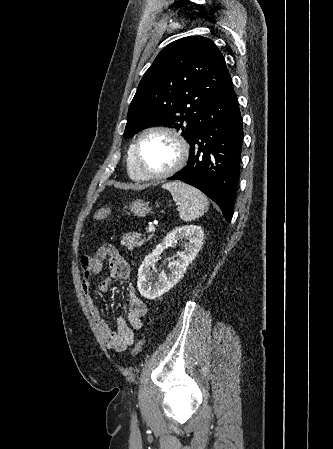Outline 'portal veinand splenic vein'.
Returning <instances> with one entry per match:
<instances>
[{
	"label": "portal vein and splenic vein",
	"instance_id": "portal-vein-and-splenic-vein-1",
	"mask_svg": "<svg viewBox=\"0 0 333 449\" xmlns=\"http://www.w3.org/2000/svg\"><path fill=\"white\" fill-rule=\"evenodd\" d=\"M153 231H155V227L153 225H150L148 227V232H153Z\"/></svg>",
	"mask_w": 333,
	"mask_h": 449
}]
</instances>
